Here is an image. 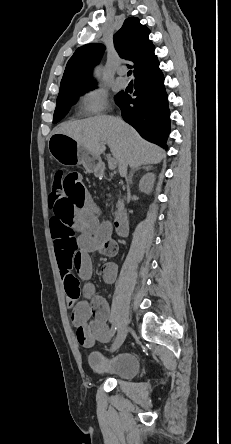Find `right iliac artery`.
I'll return each instance as SVG.
<instances>
[{
	"label": "right iliac artery",
	"mask_w": 231,
	"mask_h": 444,
	"mask_svg": "<svg viewBox=\"0 0 231 444\" xmlns=\"http://www.w3.org/2000/svg\"><path fill=\"white\" fill-rule=\"evenodd\" d=\"M116 330H117V325H116V324H113V325H112V335L115 334Z\"/></svg>",
	"instance_id": "82829eb1"
}]
</instances>
